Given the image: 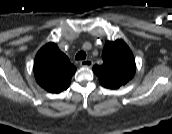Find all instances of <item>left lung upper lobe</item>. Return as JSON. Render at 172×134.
Wrapping results in <instances>:
<instances>
[{
  "label": "left lung upper lobe",
  "mask_w": 172,
  "mask_h": 134,
  "mask_svg": "<svg viewBox=\"0 0 172 134\" xmlns=\"http://www.w3.org/2000/svg\"><path fill=\"white\" fill-rule=\"evenodd\" d=\"M102 57L103 64L93 67L102 86L118 89L133 78L136 71L135 59L123 40L107 41Z\"/></svg>",
  "instance_id": "obj_1"
}]
</instances>
